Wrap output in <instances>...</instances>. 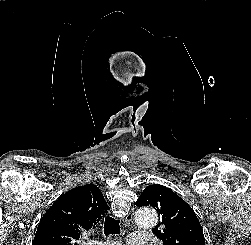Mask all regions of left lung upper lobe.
Wrapping results in <instances>:
<instances>
[{"label": "left lung upper lobe", "instance_id": "obj_1", "mask_svg": "<svg viewBox=\"0 0 251 245\" xmlns=\"http://www.w3.org/2000/svg\"><path fill=\"white\" fill-rule=\"evenodd\" d=\"M136 205L151 206L159 213L160 223L154 230L163 245H205L196 214L169 188L159 184L147 186Z\"/></svg>", "mask_w": 251, "mask_h": 245}]
</instances>
